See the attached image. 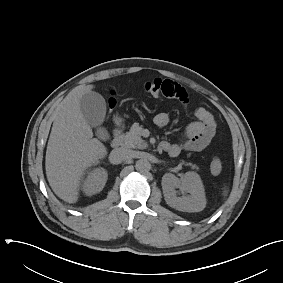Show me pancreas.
<instances>
[{
    "label": "pancreas",
    "mask_w": 283,
    "mask_h": 283,
    "mask_svg": "<svg viewBox=\"0 0 283 283\" xmlns=\"http://www.w3.org/2000/svg\"><path fill=\"white\" fill-rule=\"evenodd\" d=\"M143 128L139 126L138 123H134L129 132H127L123 136V146L127 148H138L145 149L147 147V143L141 138V132ZM192 168H196L197 166L192 165Z\"/></svg>",
    "instance_id": "pancreas-1"
}]
</instances>
